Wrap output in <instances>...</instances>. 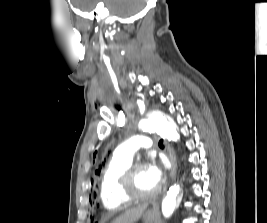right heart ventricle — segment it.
Listing matches in <instances>:
<instances>
[{"instance_id": "1", "label": "right heart ventricle", "mask_w": 267, "mask_h": 223, "mask_svg": "<svg viewBox=\"0 0 267 223\" xmlns=\"http://www.w3.org/2000/svg\"><path fill=\"white\" fill-rule=\"evenodd\" d=\"M131 163L132 160L122 159L113 155L107 164L100 185V198L106 210L116 211L128 204L121 193L120 179Z\"/></svg>"}]
</instances>
